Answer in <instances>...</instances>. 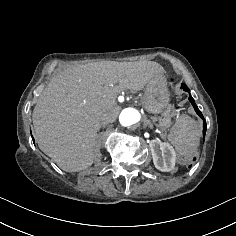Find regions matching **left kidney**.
<instances>
[{
  "label": "left kidney",
  "instance_id": "left-kidney-1",
  "mask_svg": "<svg viewBox=\"0 0 236 236\" xmlns=\"http://www.w3.org/2000/svg\"><path fill=\"white\" fill-rule=\"evenodd\" d=\"M149 145L155 167L163 172L171 171L176 161V153L173 147L159 139L151 140Z\"/></svg>",
  "mask_w": 236,
  "mask_h": 236
}]
</instances>
